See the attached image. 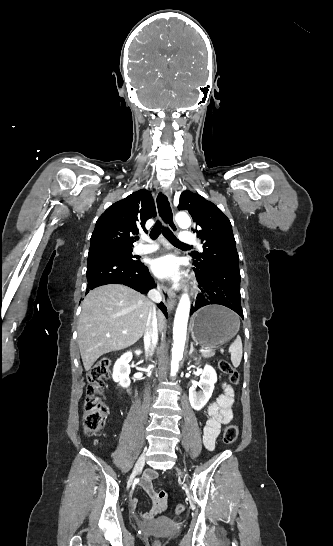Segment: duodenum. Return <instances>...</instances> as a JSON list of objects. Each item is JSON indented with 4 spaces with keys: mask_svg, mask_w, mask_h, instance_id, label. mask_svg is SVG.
<instances>
[{
    "mask_svg": "<svg viewBox=\"0 0 333 546\" xmlns=\"http://www.w3.org/2000/svg\"><path fill=\"white\" fill-rule=\"evenodd\" d=\"M133 390H134V387H133V386H130V387L128 388V391H129L130 393H132Z\"/></svg>",
    "mask_w": 333,
    "mask_h": 546,
    "instance_id": "1",
    "label": "duodenum"
}]
</instances>
